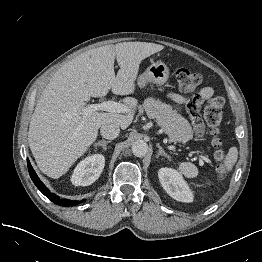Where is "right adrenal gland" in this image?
I'll return each mask as SVG.
<instances>
[{"label": "right adrenal gland", "instance_id": "right-adrenal-gland-1", "mask_svg": "<svg viewBox=\"0 0 262 262\" xmlns=\"http://www.w3.org/2000/svg\"><path fill=\"white\" fill-rule=\"evenodd\" d=\"M108 143H111V141H110V140H108V141L100 140V141H98V143H95V147H97V146H102L103 149L106 150V149H107V148H106V145H107Z\"/></svg>", "mask_w": 262, "mask_h": 262}]
</instances>
